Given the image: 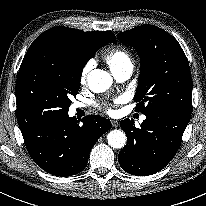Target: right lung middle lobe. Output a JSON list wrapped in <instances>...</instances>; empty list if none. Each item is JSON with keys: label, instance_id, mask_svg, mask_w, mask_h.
Returning a JSON list of instances; mask_svg holds the SVG:
<instances>
[{"label": "right lung middle lobe", "instance_id": "obj_1", "mask_svg": "<svg viewBox=\"0 0 206 206\" xmlns=\"http://www.w3.org/2000/svg\"><path fill=\"white\" fill-rule=\"evenodd\" d=\"M88 59L68 42L44 38L28 49L16 82V104L21 130L60 119L68 114L70 95L80 88Z\"/></svg>", "mask_w": 206, "mask_h": 206}]
</instances>
